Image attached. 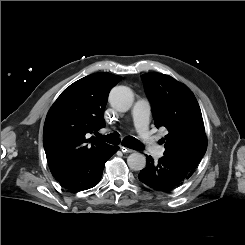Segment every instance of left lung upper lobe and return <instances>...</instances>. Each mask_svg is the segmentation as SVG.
<instances>
[{
	"instance_id": "left-lung-upper-lobe-1",
	"label": "left lung upper lobe",
	"mask_w": 245,
	"mask_h": 245,
	"mask_svg": "<svg viewBox=\"0 0 245 245\" xmlns=\"http://www.w3.org/2000/svg\"><path fill=\"white\" fill-rule=\"evenodd\" d=\"M142 80L152 102L155 126L168 130L161 139L164 156L197 168L207 149V137L194 94L168 75L147 73Z\"/></svg>"
}]
</instances>
